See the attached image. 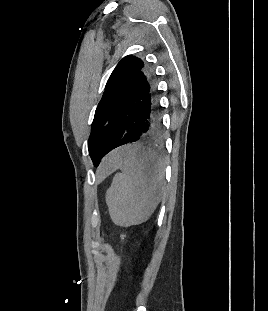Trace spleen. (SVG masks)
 <instances>
[{"label": "spleen", "instance_id": "3e777b00", "mask_svg": "<svg viewBox=\"0 0 268 311\" xmlns=\"http://www.w3.org/2000/svg\"><path fill=\"white\" fill-rule=\"evenodd\" d=\"M112 170L120 169L106 191V204L113 223L120 227L148 220L164 190V164L153 148L125 144L109 159Z\"/></svg>", "mask_w": 268, "mask_h": 311}]
</instances>
